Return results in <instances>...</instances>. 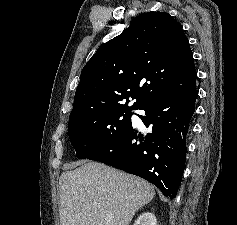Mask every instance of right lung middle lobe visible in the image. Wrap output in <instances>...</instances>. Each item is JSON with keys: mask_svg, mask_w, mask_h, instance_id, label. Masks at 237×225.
Here are the masks:
<instances>
[{"mask_svg": "<svg viewBox=\"0 0 237 225\" xmlns=\"http://www.w3.org/2000/svg\"><path fill=\"white\" fill-rule=\"evenodd\" d=\"M130 111H109L69 124L68 134L79 159L98 152L131 126Z\"/></svg>", "mask_w": 237, "mask_h": 225, "instance_id": "obj_1", "label": "right lung middle lobe"}]
</instances>
